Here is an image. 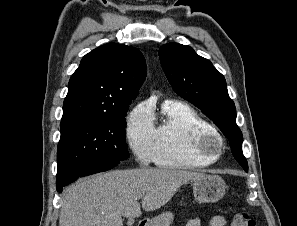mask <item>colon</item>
I'll use <instances>...</instances> for the list:
<instances>
[{"instance_id": "obj_1", "label": "colon", "mask_w": 297, "mask_h": 226, "mask_svg": "<svg viewBox=\"0 0 297 226\" xmlns=\"http://www.w3.org/2000/svg\"><path fill=\"white\" fill-rule=\"evenodd\" d=\"M233 226H256V223L247 213L238 212L234 216Z\"/></svg>"}]
</instances>
